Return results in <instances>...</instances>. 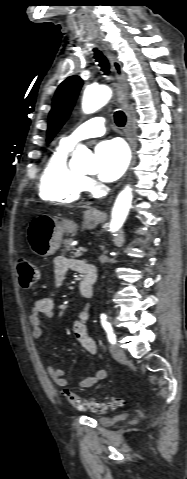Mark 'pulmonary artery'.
Listing matches in <instances>:
<instances>
[{
  "label": "pulmonary artery",
  "instance_id": "pulmonary-artery-1",
  "mask_svg": "<svg viewBox=\"0 0 187 479\" xmlns=\"http://www.w3.org/2000/svg\"><path fill=\"white\" fill-rule=\"evenodd\" d=\"M105 123L106 120L104 117H92L74 129L70 134L62 138L61 141L65 145L73 147L81 140L101 136L105 132Z\"/></svg>",
  "mask_w": 187,
  "mask_h": 479
}]
</instances>
